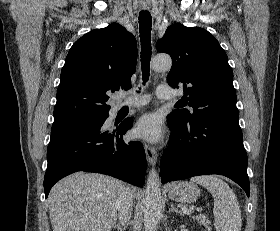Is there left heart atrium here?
I'll use <instances>...</instances> for the list:
<instances>
[{
	"instance_id": "obj_1",
	"label": "left heart atrium",
	"mask_w": 280,
	"mask_h": 231,
	"mask_svg": "<svg viewBox=\"0 0 280 231\" xmlns=\"http://www.w3.org/2000/svg\"><path fill=\"white\" fill-rule=\"evenodd\" d=\"M132 132L135 138L154 143L163 138L161 120L155 114H146L138 118Z\"/></svg>"
}]
</instances>
